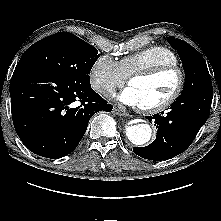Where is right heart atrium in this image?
<instances>
[{
    "label": "right heart atrium",
    "instance_id": "d8ad5b80",
    "mask_svg": "<svg viewBox=\"0 0 221 221\" xmlns=\"http://www.w3.org/2000/svg\"><path fill=\"white\" fill-rule=\"evenodd\" d=\"M126 79L119 63L108 55L98 56L89 71L92 88L102 94H107L115 87L122 86Z\"/></svg>",
    "mask_w": 221,
    "mask_h": 221
}]
</instances>
